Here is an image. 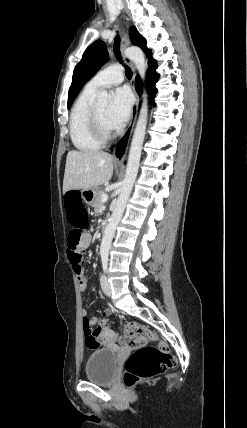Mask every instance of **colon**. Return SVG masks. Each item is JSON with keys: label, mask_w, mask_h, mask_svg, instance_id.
Returning a JSON list of instances; mask_svg holds the SVG:
<instances>
[{"label": "colon", "mask_w": 247, "mask_h": 428, "mask_svg": "<svg viewBox=\"0 0 247 428\" xmlns=\"http://www.w3.org/2000/svg\"><path fill=\"white\" fill-rule=\"evenodd\" d=\"M63 208V215L67 218L68 227L73 228L69 234V249L74 258L81 262L82 255L78 250V244L82 232L86 231V226H90L91 219L86 217L87 210L84 200L80 198L77 191L67 192L63 199ZM100 314L102 318L95 329L89 325L90 320L87 317L81 320L85 345L88 349L107 346V341L103 340V333L109 330L112 310L106 308ZM155 339L153 332L140 323L131 322L125 326L120 344L125 348L135 349L125 365L123 380L127 387H133L146 379L156 377L176 365V358L166 343L159 342L157 346L148 345L149 341Z\"/></svg>", "instance_id": "5ec220e1"}]
</instances>
